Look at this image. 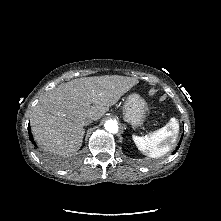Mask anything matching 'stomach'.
<instances>
[{"instance_id": "stomach-1", "label": "stomach", "mask_w": 221, "mask_h": 221, "mask_svg": "<svg viewBox=\"0 0 221 221\" xmlns=\"http://www.w3.org/2000/svg\"><path fill=\"white\" fill-rule=\"evenodd\" d=\"M147 111V103L136 93L130 94L123 106V119L133 128L141 126Z\"/></svg>"}]
</instances>
